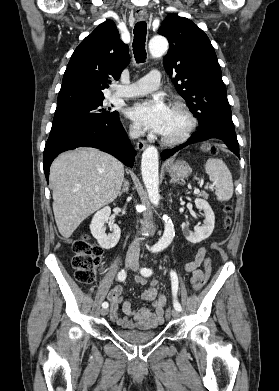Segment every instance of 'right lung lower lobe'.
I'll list each match as a JSON object with an SVG mask.
<instances>
[{"label":"right lung lower lobe","instance_id":"98d812e1","mask_svg":"<svg viewBox=\"0 0 279 391\" xmlns=\"http://www.w3.org/2000/svg\"><path fill=\"white\" fill-rule=\"evenodd\" d=\"M80 146L101 149L129 167L134 164L136 152L132 148L117 114L98 122L52 126L44 149L46 178L49 177L50 165L58 154Z\"/></svg>","mask_w":279,"mask_h":391}]
</instances>
